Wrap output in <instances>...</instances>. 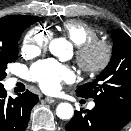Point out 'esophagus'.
<instances>
[{"instance_id": "1", "label": "esophagus", "mask_w": 131, "mask_h": 131, "mask_svg": "<svg viewBox=\"0 0 131 131\" xmlns=\"http://www.w3.org/2000/svg\"><path fill=\"white\" fill-rule=\"evenodd\" d=\"M45 101H46L47 103H53V102L56 101V99L51 98V97H46V98H45Z\"/></svg>"}]
</instances>
